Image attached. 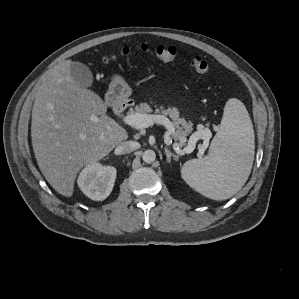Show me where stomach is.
<instances>
[{"mask_svg": "<svg viewBox=\"0 0 299 299\" xmlns=\"http://www.w3.org/2000/svg\"><path fill=\"white\" fill-rule=\"evenodd\" d=\"M109 93L116 100H125L131 95V89L121 76L114 75L109 87Z\"/></svg>", "mask_w": 299, "mask_h": 299, "instance_id": "0dacf381", "label": "stomach"}]
</instances>
